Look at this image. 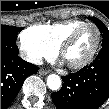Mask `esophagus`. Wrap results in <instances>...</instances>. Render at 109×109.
<instances>
[{
	"label": "esophagus",
	"instance_id": "1",
	"mask_svg": "<svg viewBox=\"0 0 109 109\" xmlns=\"http://www.w3.org/2000/svg\"><path fill=\"white\" fill-rule=\"evenodd\" d=\"M38 73H39L40 75H47V74L49 73V71H47V70L41 68V69H39Z\"/></svg>",
	"mask_w": 109,
	"mask_h": 109
}]
</instances>
